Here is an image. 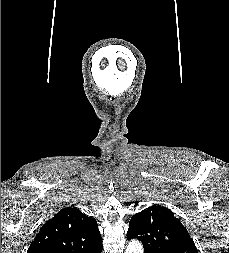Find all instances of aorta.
Returning a JSON list of instances; mask_svg holds the SVG:
<instances>
[{
	"mask_svg": "<svg viewBox=\"0 0 229 253\" xmlns=\"http://www.w3.org/2000/svg\"><path fill=\"white\" fill-rule=\"evenodd\" d=\"M126 253H143V246L139 241H131L126 249Z\"/></svg>",
	"mask_w": 229,
	"mask_h": 253,
	"instance_id": "obj_1",
	"label": "aorta"
}]
</instances>
